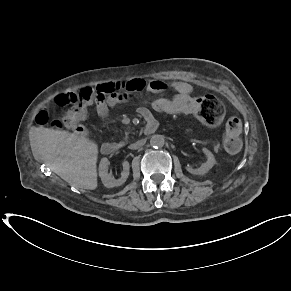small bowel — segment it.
Segmentation results:
<instances>
[{"label":"small bowel","instance_id":"c3829d8e","mask_svg":"<svg viewBox=\"0 0 291 291\" xmlns=\"http://www.w3.org/2000/svg\"><path fill=\"white\" fill-rule=\"evenodd\" d=\"M168 89H171L176 92V95L173 98H179L180 96H185L186 98H194L191 95L192 88L186 82L182 81L166 82L159 79L144 80L142 78H133L125 83L124 89L122 91L118 92L117 94L111 97H108L104 100L97 102L96 112L101 119H105L108 116L109 108L121 104L122 102L126 101L127 99L141 91H144L146 93H160ZM139 112L146 119L152 117V113L147 107H140Z\"/></svg>","mask_w":291,"mask_h":291}]
</instances>
